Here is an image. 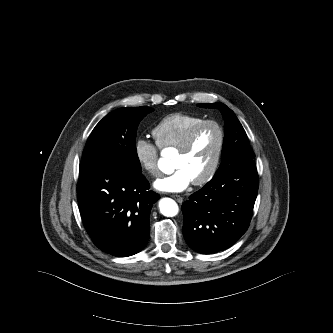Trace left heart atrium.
<instances>
[{
    "label": "left heart atrium",
    "mask_w": 333,
    "mask_h": 333,
    "mask_svg": "<svg viewBox=\"0 0 333 333\" xmlns=\"http://www.w3.org/2000/svg\"><path fill=\"white\" fill-rule=\"evenodd\" d=\"M192 183L189 174L183 168H176L170 175L161 177L154 182V187L160 192H182Z\"/></svg>",
    "instance_id": "left-heart-atrium-1"
}]
</instances>
